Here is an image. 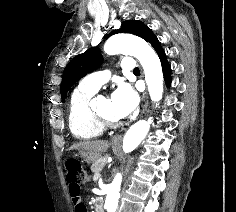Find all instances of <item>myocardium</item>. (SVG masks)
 <instances>
[{"instance_id": "obj_1", "label": "myocardium", "mask_w": 236, "mask_h": 212, "mask_svg": "<svg viewBox=\"0 0 236 212\" xmlns=\"http://www.w3.org/2000/svg\"><path fill=\"white\" fill-rule=\"evenodd\" d=\"M94 114L104 128L112 129L118 127L121 124L119 120L108 118L107 116L102 114L98 109L94 110Z\"/></svg>"}]
</instances>
